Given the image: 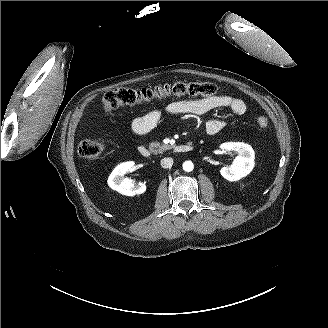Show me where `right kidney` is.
Instances as JSON below:
<instances>
[{
    "label": "right kidney",
    "mask_w": 328,
    "mask_h": 328,
    "mask_svg": "<svg viewBox=\"0 0 328 328\" xmlns=\"http://www.w3.org/2000/svg\"><path fill=\"white\" fill-rule=\"evenodd\" d=\"M135 170L134 161H126L117 165L108 178V186L125 196L143 194L147 186L144 183L134 184L131 179H124V175Z\"/></svg>",
    "instance_id": "ca27d5eb"
}]
</instances>
